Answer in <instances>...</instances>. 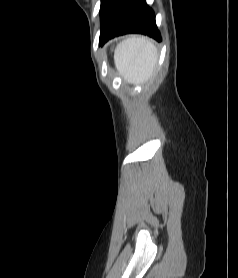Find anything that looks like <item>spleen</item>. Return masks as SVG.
I'll list each match as a JSON object with an SVG mask.
<instances>
[{
    "label": "spleen",
    "instance_id": "obj_1",
    "mask_svg": "<svg viewBox=\"0 0 238 278\" xmlns=\"http://www.w3.org/2000/svg\"><path fill=\"white\" fill-rule=\"evenodd\" d=\"M158 52L152 40L131 35L118 44L114 61L120 75L133 84L146 82L156 70Z\"/></svg>",
    "mask_w": 238,
    "mask_h": 278
}]
</instances>
